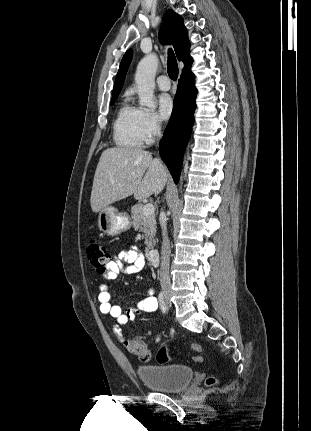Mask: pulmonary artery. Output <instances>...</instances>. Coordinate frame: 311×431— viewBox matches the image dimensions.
Returning a JSON list of instances; mask_svg holds the SVG:
<instances>
[{
	"mask_svg": "<svg viewBox=\"0 0 311 431\" xmlns=\"http://www.w3.org/2000/svg\"><path fill=\"white\" fill-rule=\"evenodd\" d=\"M157 84L160 90L168 91L171 88V81L167 75H160L157 78Z\"/></svg>",
	"mask_w": 311,
	"mask_h": 431,
	"instance_id": "obj_1",
	"label": "pulmonary artery"
}]
</instances>
